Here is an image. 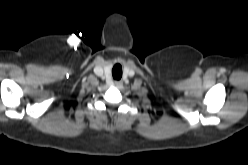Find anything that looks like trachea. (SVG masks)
Segmentation results:
<instances>
[{
	"label": "trachea",
	"instance_id": "obj_1",
	"mask_svg": "<svg viewBox=\"0 0 248 165\" xmlns=\"http://www.w3.org/2000/svg\"><path fill=\"white\" fill-rule=\"evenodd\" d=\"M112 76L115 80H120L122 77V67L119 64L114 65L112 69Z\"/></svg>",
	"mask_w": 248,
	"mask_h": 165
}]
</instances>
